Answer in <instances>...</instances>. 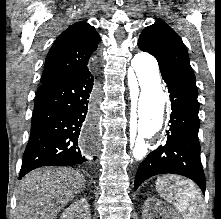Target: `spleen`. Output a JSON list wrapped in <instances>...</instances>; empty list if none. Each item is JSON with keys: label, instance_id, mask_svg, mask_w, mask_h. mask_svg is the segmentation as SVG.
Masks as SVG:
<instances>
[{"label": "spleen", "instance_id": "obj_1", "mask_svg": "<svg viewBox=\"0 0 221 219\" xmlns=\"http://www.w3.org/2000/svg\"><path fill=\"white\" fill-rule=\"evenodd\" d=\"M156 190L167 202L172 203L184 219H203L205 204L195 184L178 176L159 178Z\"/></svg>", "mask_w": 221, "mask_h": 219}]
</instances>
